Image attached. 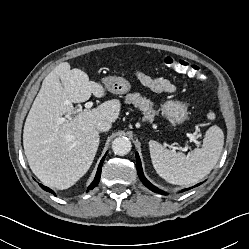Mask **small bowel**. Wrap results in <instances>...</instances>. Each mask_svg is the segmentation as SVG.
<instances>
[{
  "instance_id": "1",
  "label": "small bowel",
  "mask_w": 249,
  "mask_h": 249,
  "mask_svg": "<svg viewBox=\"0 0 249 249\" xmlns=\"http://www.w3.org/2000/svg\"><path fill=\"white\" fill-rule=\"evenodd\" d=\"M139 81L148 89L156 93H174L175 86L166 78L153 77L143 72H137Z\"/></svg>"
}]
</instances>
